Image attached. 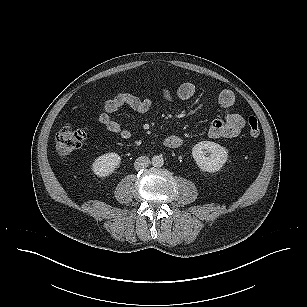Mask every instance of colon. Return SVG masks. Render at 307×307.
I'll return each mask as SVG.
<instances>
[{
    "label": "colon",
    "instance_id": "5ec220e1",
    "mask_svg": "<svg viewBox=\"0 0 307 307\" xmlns=\"http://www.w3.org/2000/svg\"><path fill=\"white\" fill-rule=\"evenodd\" d=\"M247 130L251 138L256 139L260 135L259 121L255 116H249L247 119ZM86 138L84 128L74 127L72 125L63 126L56 137V152L64 157L81 147Z\"/></svg>",
    "mask_w": 307,
    "mask_h": 307
}]
</instances>
